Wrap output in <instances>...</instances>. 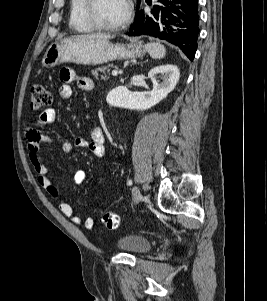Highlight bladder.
Returning <instances> with one entry per match:
<instances>
[{
    "label": "bladder",
    "mask_w": 267,
    "mask_h": 301,
    "mask_svg": "<svg viewBox=\"0 0 267 301\" xmlns=\"http://www.w3.org/2000/svg\"><path fill=\"white\" fill-rule=\"evenodd\" d=\"M152 247V243L146 237L125 234L117 240V248L134 255H140L148 252Z\"/></svg>",
    "instance_id": "1"
}]
</instances>
